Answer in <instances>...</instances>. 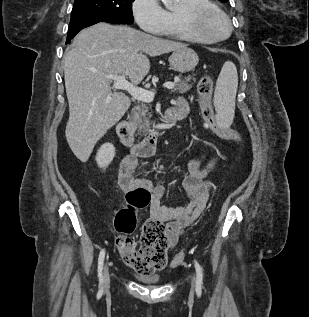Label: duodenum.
<instances>
[{"instance_id": "410a0bca", "label": "duodenum", "mask_w": 309, "mask_h": 317, "mask_svg": "<svg viewBox=\"0 0 309 317\" xmlns=\"http://www.w3.org/2000/svg\"><path fill=\"white\" fill-rule=\"evenodd\" d=\"M179 115L174 107L167 109L161 121L158 122L140 142H135L133 132L126 120H121L116 126V132L121 143L136 157H149L156 152L158 138L169 123L177 120Z\"/></svg>"}]
</instances>
